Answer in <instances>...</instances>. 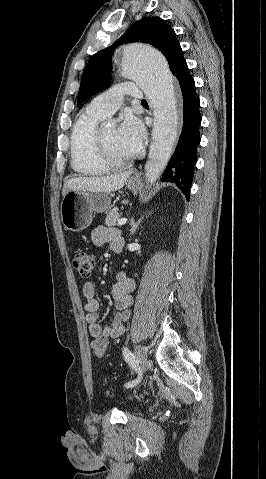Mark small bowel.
<instances>
[{
	"instance_id": "c3829d8e",
	"label": "small bowel",
	"mask_w": 266,
	"mask_h": 479,
	"mask_svg": "<svg viewBox=\"0 0 266 479\" xmlns=\"http://www.w3.org/2000/svg\"><path fill=\"white\" fill-rule=\"evenodd\" d=\"M92 242L101 246L109 243H117L121 248L124 240L118 234L117 230L111 227L99 226L92 232ZM135 289V283L124 273L117 275V280L112 288V296L115 302V315L110 325L103 327L101 320V303L95 297L94 286L90 282L83 285V295L85 297V309L87 311L86 321L88 331L91 337L116 339L125 332V323L129 319L131 307L133 305L132 293Z\"/></svg>"
}]
</instances>
